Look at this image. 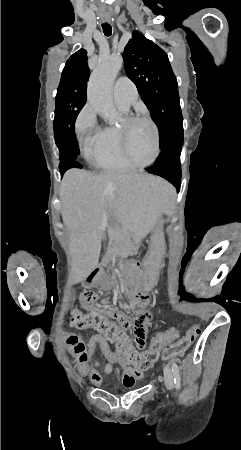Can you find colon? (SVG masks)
<instances>
[{"instance_id": "colon-1", "label": "colon", "mask_w": 241, "mask_h": 450, "mask_svg": "<svg viewBox=\"0 0 241 450\" xmlns=\"http://www.w3.org/2000/svg\"><path fill=\"white\" fill-rule=\"evenodd\" d=\"M70 324L72 326L84 329L97 328L101 330L104 336L110 340L116 351H119L122 356L128 359L130 366H136L137 371H150L153 360L157 359L160 348L166 344L168 337H173L176 327L171 325L169 328H164L160 331L158 336L149 343V350H134L133 345L128 343L127 338L121 333L118 327L109 322L106 316L98 313H88L86 315L75 312L70 315ZM200 331L198 325L191 328L185 336L176 342L174 346L167 344L162 351L159 359L160 362H165L169 356H180L184 354L188 348L194 346V341Z\"/></svg>"}]
</instances>
